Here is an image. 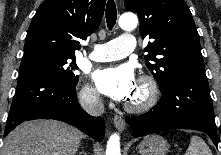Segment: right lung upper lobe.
Listing matches in <instances>:
<instances>
[{"label": "right lung upper lobe", "mask_w": 221, "mask_h": 155, "mask_svg": "<svg viewBox=\"0 0 221 155\" xmlns=\"http://www.w3.org/2000/svg\"><path fill=\"white\" fill-rule=\"evenodd\" d=\"M106 0H45L27 32L24 56L50 53L74 57L101 22Z\"/></svg>", "instance_id": "obj_1"}]
</instances>
